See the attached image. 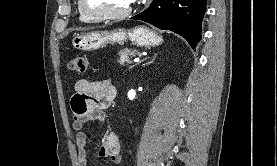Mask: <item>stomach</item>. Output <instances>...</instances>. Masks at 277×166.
<instances>
[{
	"label": "stomach",
	"instance_id": "stomach-1",
	"mask_svg": "<svg viewBox=\"0 0 277 166\" xmlns=\"http://www.w3.org/2000/svg\"><path fill=\"white\" fill-rule=\"evenodd\" d=\"M128 39L140 47H154L162 43V37L154 31L144 26H136L128 31L125 29H116L75 35L72 39V44L76 49L91 51L107 44L123 43Z\"/></svg>",
	"mask_w": 277,
	"mask_h": 166
}]
</instances>
